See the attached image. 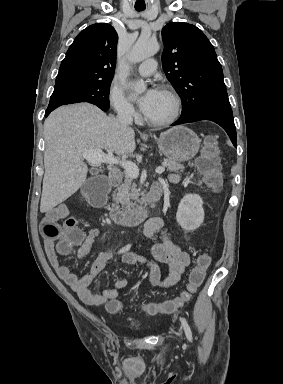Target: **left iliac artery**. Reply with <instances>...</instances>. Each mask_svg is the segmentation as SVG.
Returning a JSON list of instances; mask_svg holds the SVG:
<instances>
[{
    "instance_id": "left-iliac-artery-1",
    "label": "left iliac artery",
    "mask_w": 283,
    "mask_h": 384,
    "mask_svg": "<svg viewBox=\"0 0 283 384\" xmlns=\"http://www.w3.org/2000/svg\"><path fill=\"white\" fill-rule=\"evenodd\" d=\"M180 321H181V324H182V326L184 328V331H185L187 339L190 342H192V332H191L190 326L188 325V323H187V321H186V319L184 317H181Z\"/></svg>"
}]
</instances>
